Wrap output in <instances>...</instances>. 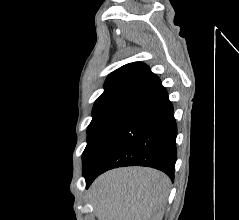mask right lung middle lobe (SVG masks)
<instances>
[{
    "label": "right lung middle lobe",
    "mask_w": 239,
    "mask_h": 220,
    "mask_svg": "<svg viewBox=\"0 0 239 220\" xmlns=\"http://www.w3.org/2000/svg\"><path fill=\"white\" fill-rule=\"evenodd\" d=\"M131 107L121 106L92 115L87 130V146L82 154L84 176L92 170Z\"/></svg>",
    "instance_id": "dd1d6c3e"
}]
</instances>
